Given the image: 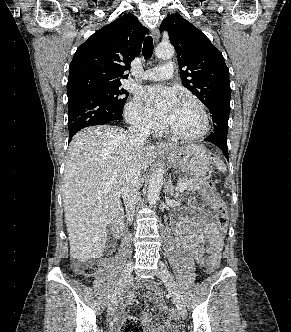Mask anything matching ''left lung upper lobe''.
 Masks as SVG:
<instances>
[{
	"label": "left lung upper lobe",
	"mask_w": 291,
	"mask_h": 332,
	"mask_svg": "<svg viewBox=\"0 0 291 332\" xmlns=\"http://www.w3.org/2000/svg\"><path fill=\"white\" fill-rule=\"evenodd\" d=\"M164 30L176 49L182 84L208 109L220 100L230 101L229 69L210 40L179 14L163 20L160 31Z\"/></svg>",
	"instance_id": "obj_1"
}]
</instances>
